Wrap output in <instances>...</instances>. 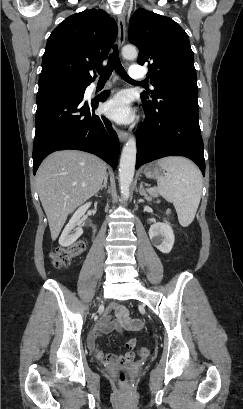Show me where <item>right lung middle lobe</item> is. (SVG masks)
<instances>
[{"instance_id":"dd1d6c3e","label":"right lung middle lobe","mask_w":243,"mask_h":409,"mask_svg":"<svg viewBox=\"0 0 243 409\" xmlns=\"http://www.w3.org/2000/svg\"><path fill=\"white\" fill-rule=\"evenodd\" d=\"M85 84L78 83L65 77H48L39 79L37 98L54 93L83 92Z\"/></svg>"}]
</instances>
